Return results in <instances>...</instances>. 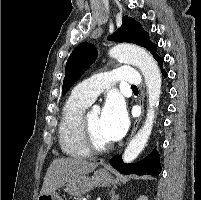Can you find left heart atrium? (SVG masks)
<instances>
[{"label": "left heart atrium", "instance_id": "obj_1", "mask_svg": "<svg viewBox=\"0 0 201 200\" xmlns=\"http://www.w3.org/2000/svg\"><path fill=\"white\" fill-rule=\"evenodd\" d=\"M101 124L110 142L120 140L127 132L129 118L126 108L119 99H109L101 113Z\"/></svg>", "mask_w": 201, "mask_h": 200}]
</instances>
